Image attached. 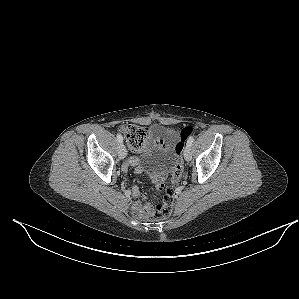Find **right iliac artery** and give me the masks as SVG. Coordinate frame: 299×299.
Segmentation results:
<instances>
[{
  "instance_id": "right-iliac-artery-1",
  "label": "right iliac artery",
  "mask_w": 299,
  "mask_h": 299,
  "mask_svg": "<svg viewBox=\"0 0 299 299\" xmlns=\"http://www.w3.org/2000/svg\"><path fill=\"white\" fill-rule=\"evenodd\" d=\"M117 140L119 143H122L123 142V137L121 134H117Z\"/></svg>"
}]
</instances>
